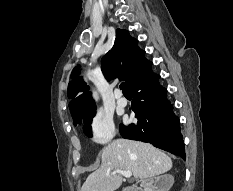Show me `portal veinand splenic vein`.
<instances>
[{
  "mask_svg": "<svg viewBox=\"0 0 233 191\" xmlns=\"http://www.w3.org/2000/svg\"><path fill=\"white\" fill-rule=\"evenodd\" d=\"M113 174H122L124 177L126 178H130L132 176V172L131 171H124V170H115L113 172Z\"/></svg>",
  "mask_w": 233,
  "mask_h": 191,
  "instance_id": "18ae733b",
  "label": "portal vein and splenic vein"
}]
</instances>
